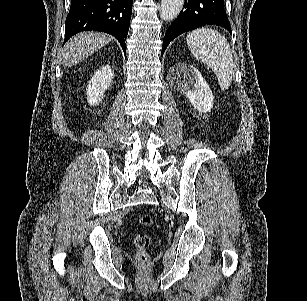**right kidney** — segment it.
Listing matches in <instances>:
<instances>
[{
	"label": "right kidney",
	"instance_id": "right-kidney-1",
	"mask_svg": "<svg viewBox=\"0 0 307 301\" xmlns=\"http://www.w3.org/2000/svg\"><path fill=\"white\" fill-rule=\"evenodd\" d=\"M113 78L114 72L110 64H105V66H101L99 70L94 72L92 78L88 80V84L86 86V98L90 106H96V104L101 102L107 88L111 86Z\"/></svg>",
	"mask_w": 307,
	"mask_h": 301
}]
</instances>
